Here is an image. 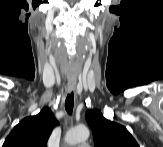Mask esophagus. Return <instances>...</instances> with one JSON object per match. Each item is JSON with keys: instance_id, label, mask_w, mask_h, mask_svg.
I'll use <instances>...</instances> for the list:
<instances>
[{"instance_id": "1", "label": "esophagus", "mask_w": 163, "mask_h": 147, "mask_svg": "<svg viewBox=\"0 0 163 147\" xmlns=\"http://www.w3.org/2000/svg\"><path fill=\"white\" fill-rule=\"evenodd\" d=\"M75 87H76V86H75V83L69 82V83H68V86H67L68 92L71 93V92L75 91Z\"/></svg>"}]
</instances>
